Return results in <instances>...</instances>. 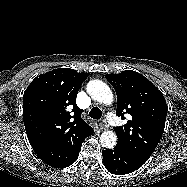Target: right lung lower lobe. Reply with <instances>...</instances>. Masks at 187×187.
<instances>
[{"instance_id": "right-lung-lower-lobe-1", "label": "right lung lower lobe", "mask_w": 187, "mask_h": 187, "mask_svg": "<svg viewBox=\"0 0 187 187\" xmlns=\"http://www.w3.org/2000/svg\"><path fill=\"white\" fill-rule=\"evenodd\" d=\"M81 145H82V143H80L78 145V147L75 149L74 153L72 154L71 159L68 162L63 163L62 165H59V166H55L54 168H66V167L70 166L71 164H73L78 158V154L80 152Z\"/></svg>"}]
</instances>
